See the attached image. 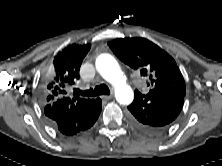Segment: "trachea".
Listing matches in <instances>:
<instances>
[{"mask_svg": "<svg viewBox=\"0 0 222 166\" xmlns=\"http://www.w3.org/2000/svg\"><path fill=\"white\" fill-rule=\"evenodd\" d=\"M76 95H82V96H98V95H109L110 90L107 85L101 84L99 86H96L95 89H89L86 91L81 90H75L74 92Z\"/></svg>", "mask_w": 222, "mask_h": 166, "instance_id": "1", "label": "trachea"}]
</instances>
